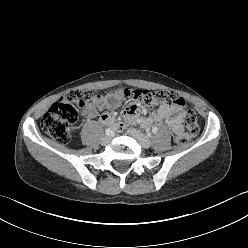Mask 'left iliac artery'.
<instances>
[{
  "label": "left iliac artery",
  "mask_w": 248,
  "mask_h": 248,
  "mask_svg": "<svg viewBox=\"0 0 248 248\" xmlns=\"http://www.w3.org/2000/svg\"><path fill=\"white\" fill-rule=\"evenodd\" d=\"M157 131H158V128L154 126V127L152 128V133H156Z\"/></svg>",
  "instance_id": "1"
}]
</instances>
